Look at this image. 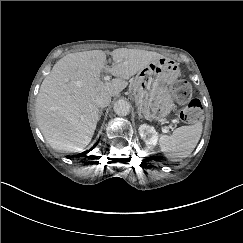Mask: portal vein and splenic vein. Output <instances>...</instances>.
<instances>
[{"label": "portal vein and splenic vein", "instance_id": "18ae733b", "mask_svg": "<svg viewBox=\"0 0 243 243\" xmlns=\"http://www.w3.org/2000/svg\"><path fill=\"white\" fill-rule=\"evenodd\" d=\"M104 80H110V77H109V76H105V77H104ZM162 132L165 133L166 135L171 134V131H169V130L166 129V128H163V129H162Z\"/></svg>", "mask_w": 243, "mask_h": 243}]
</instances>
